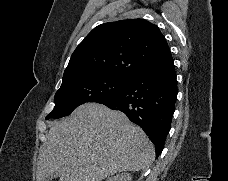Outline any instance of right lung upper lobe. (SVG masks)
Masks as SVG:
<instances>
[{
  "instance_id": "obj_1",
  "label": "right lung upper lobe",
  "mask_w": 228,
  "mask_h": 181,
  "mask_svg": "<svg viewBox=\"0 0 228 181\" xmlns=\"http://www.w3.org/2000/svg\"><path fill=\"white\" fill-rule=\"evenodd\" d=\"M170 55L159 28L146 20L104 23L94 28L75 49L62 85L103 74L132 77Z\"/></svg>"
}]
</instances>
